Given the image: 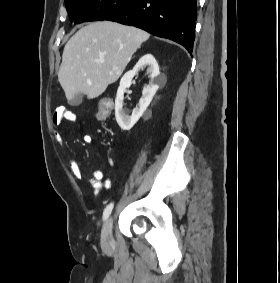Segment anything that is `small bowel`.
Segmentation results:
<instances>
[{"label": "small bowel", "mask_w": 280, "mask_h": 283, "mask_svg": "<svg viewBox=\"0 0 280 283\" xmlns=\"http://www.w3.org/2000/svg\"><path fill=\"white\" fill-rule=\"evenodd\" d=\"M76 120V115L73 111L65 108L59 107L54 112L53 122L56 125H59L63 122H74ZM55 139L58 143H63V135L60 132H55ZM82 140L86 144H90L92 142V137L88 134L82 135ZM69 168L71 173L77 177H82V169L78 161L72 156L69 157ZM104 173L102 170H95L89 177L88 183L94 189V194L97 195L104 187L110 186V180H107L105 183L103 182Z\"/></svg>", "instance_id": "small-bowel-1"}]
</instances>
